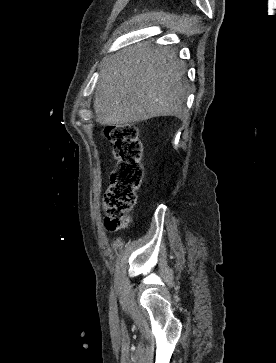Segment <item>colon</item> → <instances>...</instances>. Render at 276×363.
I'll return each mask as SVG.
<instances>
[{
    "mask_svg": "<svg viewBox=\"0 0 276 363\" xmlns=\"http://www.w3.org/2000/svg\"><path fill=\"white\" fill-rule=\"evenodd\" d=\"M105 135L114 145L116 163L104 195V224L108 231L115 232L128 228V216L136 204L143 178L142 145L133 125L108 126Z\"/></svg>",
    "mask_w": 276,
    "mask_h": 363,
    "instance_id": "colon-1",
    "label": "colon"
}]
</instances>
